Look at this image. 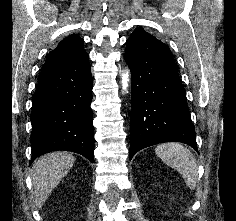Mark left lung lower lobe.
I'll use <instances>...</instances> for the list:
<instances>
[{
	"instance_id": "left-lung-lower-lobe-1",
	"label": "left lung lower lobe",
	"mask_w": 236,
	"mask_h": 221,
	"mask_svg": "<svg viewBox=\"0 0 236 221\" xmlns=\"http://www.w3.org/2000/svg\"><path fill=\"white\" fill-rule=\"evenodd\" d=\"M125 59L132 73L130 159L143 148L171 141L197 151L186 92L167 45L136 30L127 40Z\"/></svg>"
}]
</instances>
